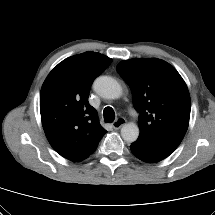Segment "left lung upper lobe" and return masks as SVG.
Masks as SVG:
<instances>
[{"label": "left lung upper lobe", "mask_w": 215, "mask_h": 215, "mask_svg": "<svg viewBox=\"0 0 215 215\" xmlns=\"http://www.w3.org/2000/svg\"><path fill=\"white\" fill-rule=\"evenodd\" d=\"M116 70L129 85L134 108L140 113L138 140L172 153L187 131L191 110L180 74L161 59L125 60Z\"/></svg>", "instance_id": "1"}]
</instances>
